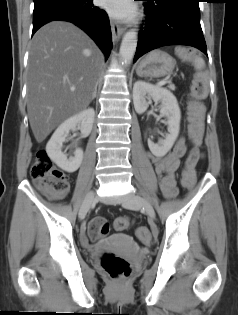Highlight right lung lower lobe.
<instances>
[{
    "label": "right lung lower lobe",
    "instance_id": "98d812e1",
    "mask_svg": "<svg viewBox=\"0 0 238 315\" xmlns=\"http://www.w3.org/2000/svg\"><path fill=\"white\" fill-rule=\"evenodd\" d=\"M32 35L44 24L69 21L83 29L103 51L106 58L112 47L109 19L104 10L93 5L92 0H33Z\"/></svg>",
    "mask_w": 238,
    "mask_h": 315
}]
</instances>
